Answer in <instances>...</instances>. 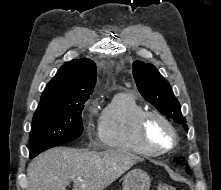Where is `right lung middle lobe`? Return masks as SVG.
<instances>
[{
    "instance_id": "right-lung-middle-lobe-1",
    "label": "right lung middle lobe",
    "mask_w": 221,
    "mask_h": 190,
    "mask_svg": "<svg viewBox=\"0 0 221 190\" xmlns=\"http://www.w3.org/2000/svg\"><path fill=\"white\" fill-rule=\"evenodd\" d=\"M85 102L37 108L30 135V158L49 148L73 141L82 134L81 112Z\"/></svg>"
}]
</instances>
